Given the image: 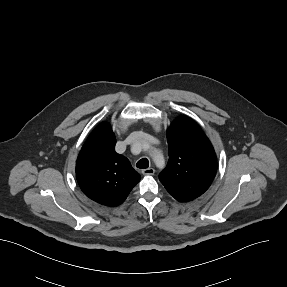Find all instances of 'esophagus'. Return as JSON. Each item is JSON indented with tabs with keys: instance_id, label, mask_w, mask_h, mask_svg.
<instances>
[{
	"instance_id": "obj_1",
	"label": "esophagus",
	"mask_w": 287,
	"mask_h": 287,
	"mask_svg": "<svg viewBox=\"0 0 287 287\" xmlns=\"http://www.w3.org/2000/svg\"><path fill=\"white\" fill-rule=\"evenodd\" d=\"M155 173V170L153 168H147L142 170V174L144 175H153Z\"/></svg>"
}]
</instances>
